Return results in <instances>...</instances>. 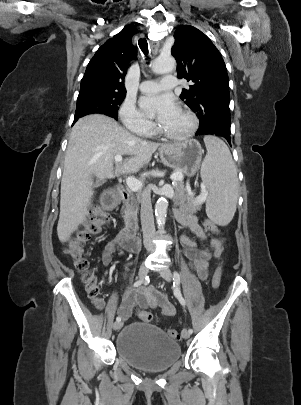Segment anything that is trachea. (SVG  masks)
Wrapping results in <instances>:
<instances>
[{
    "label": "trachea",
    "mask_w": 301,
    "mask_h": 405,
    "mask_svg": "<svg viewBox=\"0 0 301 405\" xmlns=\"http://www.w3.org/2000/svg\"><path fill=\"white\" fill-rule=\"evenodd\" d=\"M139 47L142 50V52L145 54V56L148 55V42L145 38H141L138 41Z\"/></svg>",
    "instance_id": "obj_1"
}]
</instances>
